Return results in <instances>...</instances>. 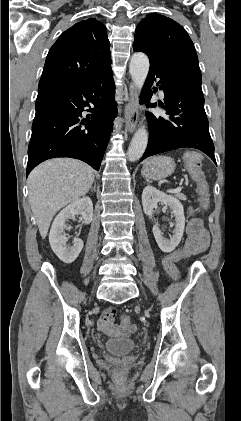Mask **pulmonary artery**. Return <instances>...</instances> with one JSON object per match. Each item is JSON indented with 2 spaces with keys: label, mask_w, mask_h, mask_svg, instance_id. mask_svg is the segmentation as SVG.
Wrapping results in <instances>:
<instances>
[{
  "label": "pulmonary artery",
  "mask_w": 241,
  "mask_h": 421,
  "mask_svg": "<svg viewBox=\"0 0 241 421\" xmlns=\"http://www.w3.org/2000/svg\"><path fill=\"white\" fill-rule=\"evenodd\" d=\"M160 94L163 95V91L162 90H160Z\"/></svg>",
  "instance_id": "pulmonary-artery-1"
}]
</instances>
